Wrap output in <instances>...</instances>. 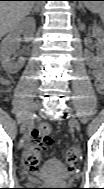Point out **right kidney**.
I'll use <instances>...</instances> for the list:
<instances>
[{
    "instance_id": "ca27d5eb",
    "label": "right kidney",
    "mask_w": 104,
    "mask_h": 189,
    "mask_svg": "<svg viewBox=\"0 0 104 189\" xmlns=\"http://www.w3.org/2000/svg\"><path fill=\"white\" fill-rule=\"evenodd\" d=\"M35 30V20L33 18H24L20 21L15 30L8 33L0 45V62L7 73H16L24 65L25 59L19 58L15 61L11 54L18 48L21 41V34L30 35Z\"/></svg>"
}]
</instances>
